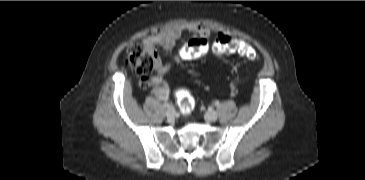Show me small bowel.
Wrapping results in <instances>:
<instances>
[{"instance_id":"obj_1","label":"small bowel","mask_w":365,"mask_h":180,"mask_svg":"<svg viewBox=\"0 0 365 180\" xmlns=\"http://www.w3.org/2000/svg\"><path fill=\"white\" fill-rule=\"evenodd\" d=\"M190 33L194 38H205L209 35V30L200 24H190L180 27L167 28L159 33L147 37L144 40V44L155 51L156 54V74L153 77L147 78L146 83L152 88L154 94L163 99L167 98L170 92L169 86L163 81L162 76L175 67L173 63H162L156 53V48H162L164 50H171L177 40L184 34Z\"/></svg>"}]
</instances>
